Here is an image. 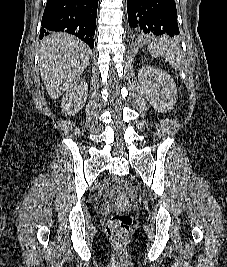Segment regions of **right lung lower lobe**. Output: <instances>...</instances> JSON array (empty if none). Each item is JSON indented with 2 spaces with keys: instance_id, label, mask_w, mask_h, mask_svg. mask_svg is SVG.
I'll list each match as a JSON object with an SVG mask.
<instances>
[{
  "instance_id": "98d812e1",
  "label": "right lung lower lobe",
  "mask_w": 227,
  "mask_h": 267,
  "mask_svg": "<svg viewBox=\"0 0 227 267\" xmlns=\"http://www.w3.org/2000/svg\"><path fill=\"white\" fill-rule=\"evenodd\" d=\"M98 0H47L40 39L49 31L73 34L94 48Z\"/></svg>"
}]
</instances>
